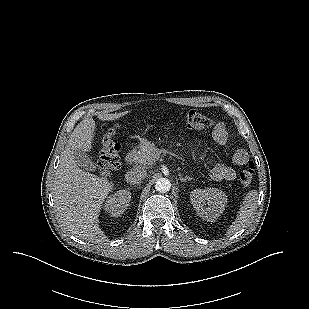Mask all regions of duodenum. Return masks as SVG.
<instances>
[{"label": "duodenum", "mask_w": 309, "mask_h": 309, "mask_svg": "<svg viewBox=\"0 0 309 309\" xmlns=\"http://www.w3.org/2000/svg\"><path fill=\"white\" fill-rule=\"evenodd\" d=\"M137 157V153L134 149H131L130 151L127 152L126 156H125V162L127 164H132Z\"/></svg>", "instance_id": "duodenum-1"}]
</instances>
